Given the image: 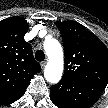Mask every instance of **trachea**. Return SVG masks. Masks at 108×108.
Instances as JSON below:
<instances>
[{
	"label": "trachea",
	"mask_w": 108,
	"mask_h": 108,
	"mask_svg": "<svg viewBox=\"0 0 108 108\" xmlns=\"http://www.w3.org/2000/svg\"><path fill=\"white\" fill-rule=\"evenodd\" d=\"M35 58L37 61H43L45 59V54L42 50H37L35 53Z\"/></svg>",
	"instance_id": "1"
}]
</instances>
